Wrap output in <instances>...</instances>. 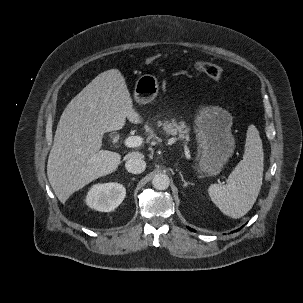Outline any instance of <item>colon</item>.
<instances>
[{"label":"colon","mask_w":303,"mask_h":303,"mask_svg":"<svg viewBox=\"0 0 303 303\" xmlns=\"http://www.w3.org/2000/svg\"><path fill=\"white\" fill-rule=\"evenodd\" d=\"M157 55L151 56L146 59V64L152 65L158 60ZM195 69L208 77L214 79V80H221L223 78V69L215 64L209 63V62H196L195 63Z\"/></svg>","instance_id":"obj_1"}]
</instances>
